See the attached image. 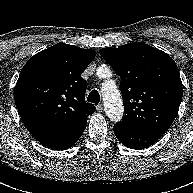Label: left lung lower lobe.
<instances>
[{
  "instance_id": "1",
  "label": "left lung lower lobe",
  "mask_w": 193,
  "mask_h": 193,
  "mask_svg": "<svg viewBox=\"0 0 193 193\" xmlns=\"http://www.w3.org/2000/svg\"><path fill=\"white\" fill-rule=\"evenodd\" d=\"M165 132L158 130L129 131L114 126V134L126 147L144 149L154 144Z\"/></svg>"
}]
</instances>
